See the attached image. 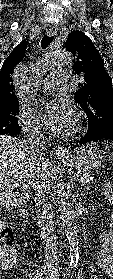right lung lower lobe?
<instances>
[{
    "instance_id": "obj_1",
    "label": "right lung lower lobe",
    "mask_w": 113,
    "mask_h": 279,
    "mask_svg": "<svg viewBox=\"0 0 113 279\" xmlns=\"http://www.w3.org/2000/svg\"><path fill=\"white\" fill-rule=\"evenodd\" d=\"M20 131H21V130L12 131V132H9V133H7V134H9V135H11V136H17V135L20 134Z\"/></svg>"
}]
</instances>
